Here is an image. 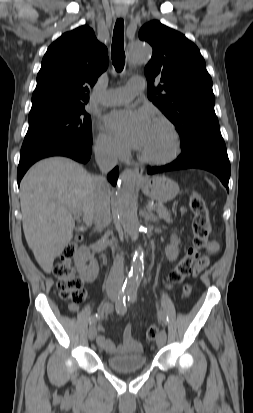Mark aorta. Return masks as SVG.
Segmentation results:
<instances>
[{
  "label": "aorta",
  "mask_w": 253,
  "mask_h": 413,
  "mask_svg": "<svg viewBox=\"0 0 253 413\" xmlns=\"http://www.w3.org/2000/svg\"><path fill=\"white\" fill-rule=\"evenodd\" d=\"M151 53L150 46L142 41H135L129 47V58L132 62H143ZM116 214L124 230L133 238H138L140 223L137 215V203L135 198V175L131 170H126L117 183L115 196ZM144 274V264L140 254L133 260L131 271L125 282L128 291H134Z\"/></svg>",
  "instance_id": "aorta-1"
}]
</instances>
